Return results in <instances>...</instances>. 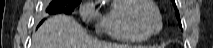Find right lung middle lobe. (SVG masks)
Returning a JSON list of instances; mask_svg holds the SVG:
<instances>
[{"mask_svg":"<svg viewBox=\"0 0 213 48\" xmlns=\"http://www.w3.org/2000/svg\"><path fill=\"white\" fill-rule=\"evenodd\" d=\"M81 0H53L46 12L48 14L71 13Z\"/></svg>","mask_w":213,"mask_h":48,"instance_id":"right-lung-middle-lobe-1","label":"right lung middle lobe"}]
</instances>
